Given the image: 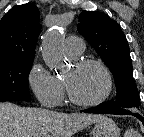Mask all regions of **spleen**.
<instances>
[{"mask_svg":"<svg viewBox=\"0 0 144 137\" xmlns=\"http://www.w3.org/2000/svg\"><path fill=\"white\" fill-rule=\"evenodd\" d=\"M129 132L132 134V137H140V135L133 129H131Z\"/></svg>","mask_w":144,"mask_h":137,"instance_id":"1","label":"spleen"}]
</instances>
